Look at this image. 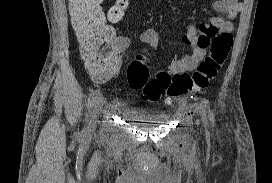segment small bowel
<instances>
[{"mask_svg": "<svg viewBox=\"0 0 272 183\" xmlns=\"http://www.w3.org/2000/svg\"><path fill=\"white\" fill-rule=\"evenodd\" d=\"M243 3L239 0H217L213 3V10L216 15L201 23L197 27L194 18L190 19L186 32L183 36L185 44L190 46L191 53L179 59H174L169 65V71L176 75L186 71H192L204 59L209 39H213V34H220V30L229 31L232 29V21L242 11ZM113 31L112 44L119 56V64L121 54L128 49L134 42L147 44L151 48H156L159 43L158 33L153 28L143 30L136 37L115 35ZM119 64L111 69L107 78L95 79L97 82H104L114 77L119 69Z\"/></svg>", "mask_w": 272, "mask_h": 183, "instance_id": "obj_1", "label": "small bowel"}]
</instances>
